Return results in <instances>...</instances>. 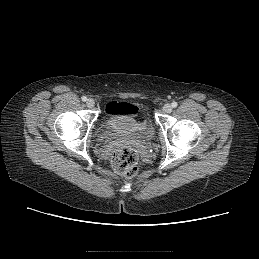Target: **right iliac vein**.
<instances>
[{"label": "right iliac vein", "mask_w": 259, "mask_h": 259, "mask_svg": "<svg viewBox=\"0 0 259 259\" xmlns=\"http://www.w3.org/2000/svg\"><path fill=\"white\" fill-rule=\"evenodd\" d=\"M86 105L89 107V108H92L94 105H95V102L92 98H89L87 101H86Z\"/></svg>", "instance_id": "63e3f726"}]
</instances>
